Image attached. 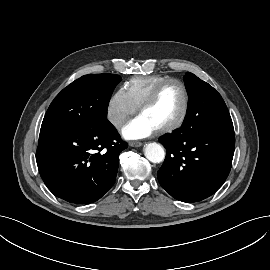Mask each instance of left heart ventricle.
I'll list each match as a JSON object with an SVG mask.
<instances>
[{
	"instance_id": "obj_1",
	"label": "left heart ventricle",
	"mask_w": 270,
	"mask_h": 270,
	"mask_svg": "<svg viewBox=\"0 0 270 270\" xmlns=\"http://www.w3.org/2000/svg\"><path fill=\"white\" fill-rule=\"evenodd\" d=\"M184 95L180 85H167L159 94L156 101L141 114L157 129L176 121L183 108Z\"/></svg>"
}]
</instances>
